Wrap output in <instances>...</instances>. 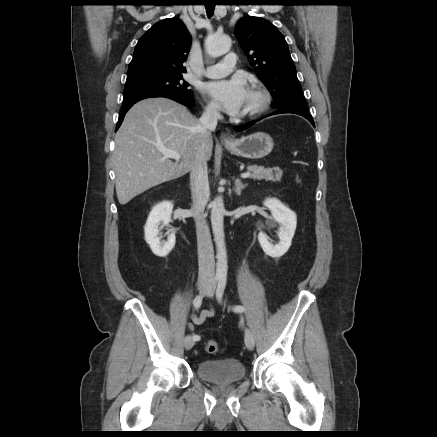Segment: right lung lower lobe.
I'll return each mask as SVG.
<instances>
[{
    "mask_svg": "<svg viewBox=\"0 0 437 437\" xmlns=\"http://www.w3.org/2000/svg\"><path fill=\"white\" fill-rule=\"evenodd\" d=\"M154 97H166V98L172 99L176 102H179L183 105H188L190 107L193 106V97H181V96H174V95H159V96H154ZM138 101L123 105V108L121 109L120 114H119V119H118V123L116 126V130H118V128L120 127L126 112L131 108V106L134 103H136Z\"/></svg>",
    "mask_w": 437,
    "mask_h": 437,
    "instance_id": "obj_1",
    "label": "right lung lower lobe"
}]
</instances>
